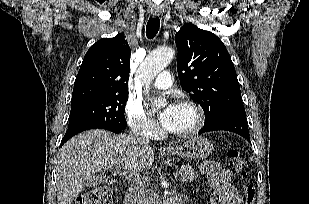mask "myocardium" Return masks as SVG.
Returning <instances> with one entry per match:
<instances>
[{"label":"myocardium","mask_w":309,"mask_h":204,"mask_svg":"<svg viewBox=\"0 0 309 204\" xmlns=\"http://www.w3.org/2000/svg\"><path fill=\"white\" fill-rule=\"evenodd\" d=\"M177 105L187 106V107L192 108L196 113V117H197L196 122L188 130L179 131V132H173V131H170V130H166L167 133L171 136L178 137V138H186V137H190V136H193V135L199 133L202 130V128L204 127L205 121H206L205 111L202 108V106L199 105L197 102L190 100V99L181 100V101L178 102Z\"/></svg>","instance_id":"myocardium-1"}]
</instances>
